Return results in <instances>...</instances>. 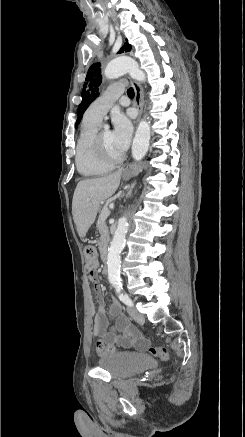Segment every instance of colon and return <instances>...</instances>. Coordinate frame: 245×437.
Here are the masks:
<instances>
[{"label": "colon", "instance_id": "5ec220e1", "mask_svg": "<svg viewBox=\"0 0 245 437\" xmlns=\"http://www.w3.org/2000/svg\"><path fill=\"white\" fill-rule=\"evenodd\" d=\"M85 267L89 274H93L98 267V259L96 249L92 246H87L84 250ZM97 352L100 354L111 353L116 350L113 344H105L102 340L96 342ZM147 351L150 355L160 359L168 358V351L163 346H149Z\"/></svg>", "mask_w": 245, "mask_h": 437}]
</instances>
